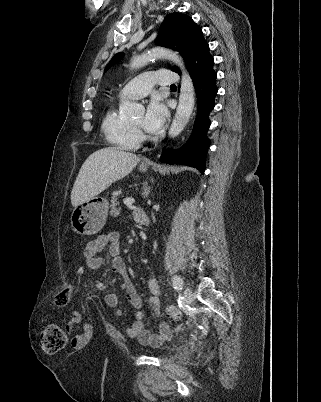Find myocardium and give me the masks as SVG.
Masks as SVG:
<instances>
[{
  "label": "myocardium",
  "mask_w": 321,
  "mask_h": 402,
  "mask_svg": "<svg viewBox=\"0 0 321 402\" xmlns=\"http://www.w3.org/2000/svg\"><path fill=\"white\" fill-rule=\"evenodd\" d=\"M132 128L136 131V132H140V127H137L133 124H131Z\"/></svg>",
  "instance_id": "f54148a6"
}]
</instances>
